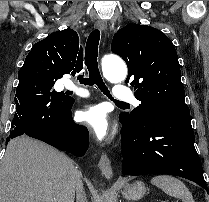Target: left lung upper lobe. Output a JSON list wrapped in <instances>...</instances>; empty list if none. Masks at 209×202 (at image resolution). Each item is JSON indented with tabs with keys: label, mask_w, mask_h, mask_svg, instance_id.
I'll return each mask as SVG.
<instances>
[{
	"label": "left lung upper lobe",
	"mask_w": 209,
	"mask_h": 202,
	"mask_svg": "<svg viewBox=\"0 0 209 202\" xmlns=\"http://www.w3.org/2000/svg\"><path fill=\"white\" fill-rule=\"evenodd\" d=\"M111 51L124 59L128 67L126 83L131 81L141 104L123 119L139 123L149 111L170 115H190L176 50L170 39L147 25L128 24L113 37Z\"/></svg>",
	"instance_id": "obj_1"
}]
</instances>
